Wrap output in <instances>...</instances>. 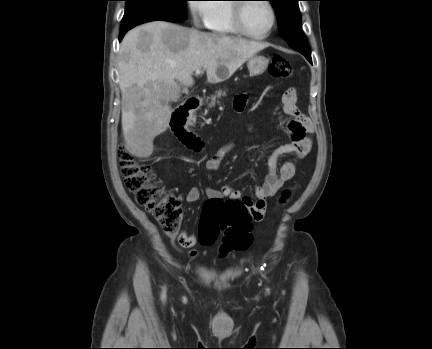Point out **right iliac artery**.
Wrapping results in <instances>:
<instances>
[{
  "instance_id": "right-iliac-artery-1",
  "label": "right iliac artery",
  "mask_w": 432,
  "mask_h": 349,
  "mask_svg": "<svg viewBox=\"0 0 432 349\" xmlns=\"http://www.w3.org/2000/svg\"><path fill=\"white\" fill-rule=\"evenodd\" d=\"M162 299H163V300L165 299V290H164L163 293H162Z\"/></svg>"
}]
</instances>
